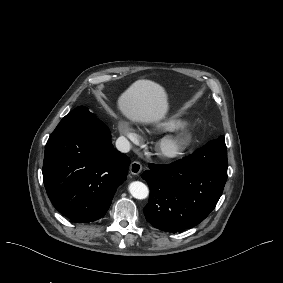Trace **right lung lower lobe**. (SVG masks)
Returning a JSON list of instances; mask_svg holds the SVG:
<instances>
[{
  "mask_svg": "<svg viewBox=\"0 0 283 283\" xmlns=\"http://www.w3.org/2000/svg\"><path fill=\"white\" fill-rule=\"evenodd\" d=\"M129 164L104 123L60 122L45 146L43 181L61 214L88 223L105 215Z\"/></svg>",
  "mask_w": 283,
  "mask_h": 283,
  "instance_id": "right-lung-lower-lobe-1",
  "label": "right lung lower lobe"
}]
</instances>
